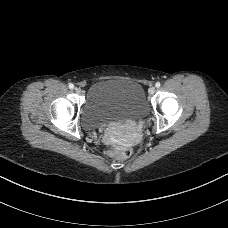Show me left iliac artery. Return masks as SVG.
<instances>
[{
    "mask_svg": "<svg viewBox=\"0 0 228 228\" xmlns=\"http://www.w3.org/2000/svg\"><path fill=\"white\" fill-rule=\"evenodd\" d=\"M160 83L159 82H157L156 84H155V86L157 87V88H159L160 87Z\"/></svg>",
    "mask_w": 228,
    "mask_h": 228,
    "instance_id": "44dca946",
    "label": "left iliac artery"
}]
</instances>
